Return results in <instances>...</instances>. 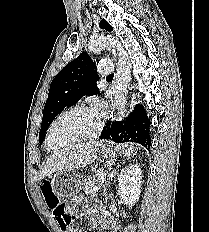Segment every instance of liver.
I'll use <instances>...</instances> for the list:
<instances>
[{"mask_svg":"<svg viewBox=\"0 0 209 232\" xmlns=\"http://www.w3.org/2000/svg\"><path fill=\"white\" fill-rule=\"evenodd\" d=\"M100 142L79 143L50 156L40 173L39 180L55 172L74 170L94 162Z\"/></svg>","mask_w":209,"mask_h":232,"instance_id":"6515ba94","label":"liver"}]
</instances>
